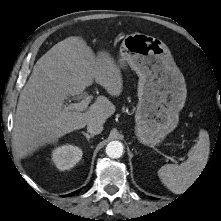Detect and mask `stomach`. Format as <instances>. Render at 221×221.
<instances>
[{
    "instance_id": "1",
    "label": "stomach",
    "mask_w": 221,
    "mask_h": 221,
    "mask_svg": "<svg viewBox=\"0 0 221 221\" xmlns=\"http://www.w3.org/2000/svg\"><path fill=\"white\" fill-rule=\"evenodd\" d=\"M118 62L139 77L135 134L144 145H158L178 124L187 95L184 76L168 47L142 33L124 38Z\"/></svg>"
}]
</instances>
